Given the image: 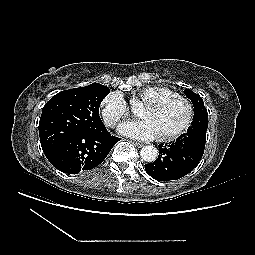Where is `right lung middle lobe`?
<instances>
[{"label": "right lung middle lobe", "mask_w": 255, "mask_h": 255, "mask_svg": "<svg viewBox=\"0 0 255 255\" xmlns=\"http://www.w3.org/2000/svg\"><path fill=\"white\" fill-rule=\"evenodd\" d=\"M109 92L108 87L93 83L61 91L45 104L39 121V135L46 157L73 134L98 133L106 128L100 119L99 107Z\"/></svg>", "instance_id": "dd1d6c3e"}]
</instances>
